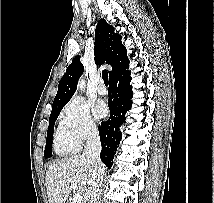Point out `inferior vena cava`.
<instances>
[{
	"instance_id": "602c4592",
	"label": "inferior vena cava",
	"mask_w": 214,
	"mask_h": 203,
	"mask_svg": "<svg viewBox=\"0 0 214 203\" xmlns=\"http://www.w3.org/2000/svg\"><path fill=\"white\" fill-rule=\"evenodd\" d=\"M101 143L97 128L88 132L87 142L82 154L90 166V186L84 203H99L102 192L104 165L100 159Z\"/></svg>"
}]
</instances>
